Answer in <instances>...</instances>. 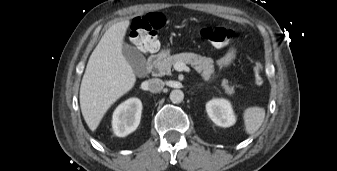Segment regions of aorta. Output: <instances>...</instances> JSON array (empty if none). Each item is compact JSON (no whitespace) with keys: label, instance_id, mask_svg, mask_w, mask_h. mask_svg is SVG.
<instances>
[{"label":"aorta","instance_id":"aorta-1","mask_svg":"<svg viewBox=\"0 0 337 171\" xmlns=\"http://www.w3.org/2000/svg\"><path fill=\"white\" fill-rule=\"evenodd\" d=\"M184 99V93L182 90H179V89H175V90H172L171 93H170V100L173 102V103H181Z\"/></svg>","mask_w":337,"mask_h":171}]
</instances>
